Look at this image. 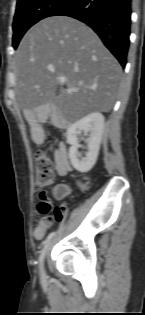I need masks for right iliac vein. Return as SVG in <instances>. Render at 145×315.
<instances>
[{"label":"right iliac vein","mask_w":145,"mask_h":315,"mask_svg":"<svg viewBox=\"0 0 145 315\" xmlns=\"http://www.w3.org/2000/svg\"><path fill=\"white\" fill-rule=\"evenodd\" d=\"M49 244L50 243H47V245L44 247L39 257V267H40V272L42 276L44 275V260H45V257L49 248Z\"/></svg>","instance_id":"63e3f726"}]
</instances>
